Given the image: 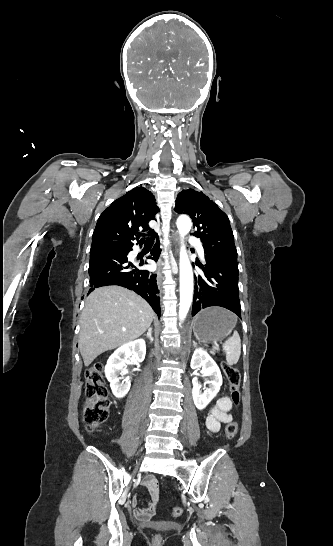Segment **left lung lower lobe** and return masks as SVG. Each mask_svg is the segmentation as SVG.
Returning a JSON list of instances; mask_svg holds the SVG:
<instances>
[{
    "label": "left lung lower lobe",
    "instance_id": "left-lung-lower-lobe-1",
    "mask_svg": "<svg viewBox=\"0 0 333 546\" xmlns=\"http://www.w3.org/2000/svg\"><path fill=\"white\" fill-rule=\"evenodd\" d=\"M205 259L206 265L201 266L205 276L195 278L192 316L203 308L221 306L241 318L237 261L215 258L206 253ZM225 267H228L226 274H224Z\"/></svg>",
    "mask_w": 333,
    "mask_h": 546
}]
</instances>
